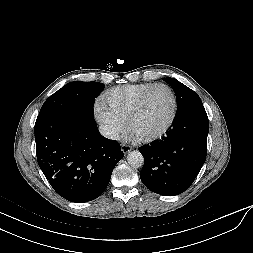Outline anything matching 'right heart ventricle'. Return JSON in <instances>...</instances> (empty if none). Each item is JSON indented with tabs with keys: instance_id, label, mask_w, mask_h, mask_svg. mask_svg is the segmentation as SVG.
<instances>
[{
	"instance_id": "obj_1",
	"label": "right heart ventricle",
	"mask_w": 253,
	"mask_h": 253,
	"mask_svg": "<svg viewBox=\"0 0 253 253\" xmlns=\"http://www.w3.org/2000/svg\"><path fill=\"white\" fill-rule=\"evenodd\" d=\"M151 85L152 83H139L116 87L108 92L103 102L121 122L126 123L138 98Z\"/></svg>"
}]
</instances>
